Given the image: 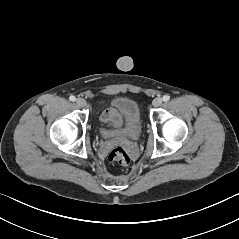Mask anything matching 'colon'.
Here are the masks:
<instances>
[{
    "label": "colon",
    "instance_id": "colon-1",
    "mask_svg": "<svg viewBox=\"0 0 239 239\" xmlns=\"http://www.w3.org/2000/svg\"><path fill=\"white\" fill-rule=\"evenodd\" d=\"M109 160L111 162L117 163L122 166H126L130 162V157L128 152L121 147L114 148L110 153H109Z\"/></svg>",
    "mask_w": 239,
    "mask_h": 239
}]
</instances>
